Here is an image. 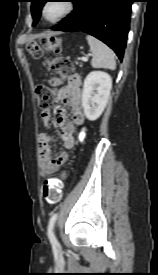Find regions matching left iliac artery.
I'll list each match as a JSON object with an SVG mask.
<instances>
[{"label": "left iliac artery", "mask_w": 158, "mask_h": 275, "mask_svg": "<svg viewBox=\"0 0 158 275\" xmlns=\"http://www.w3.org/2000/svg\"><path fill=\"white\" fill-rule=\"evenodd\" d=\"M57 216H58L57 213L52 214V216L50 217L49 223H48V232H47V234H48V238L50 240V243L53 246L58 245V241H57V239L54 235V232H53V228H54V224L56 222Z\"/></svg>", "instance_id": "obj_1"}]
</instances>
